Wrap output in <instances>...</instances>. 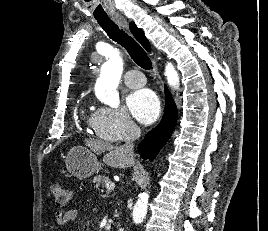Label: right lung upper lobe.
<instances>
[{
  "label": "right lung upper lobe",
  "instance_id": "obj_1",
  "mask_svg": "<svg viewBox=\"0 0 268 231\" xmlns=\"http://www.w3.org/2000/svg\"><path fill=\"white\" fill-rule=\"evenodd\" d=\"M130 30L132 32V34L135 36V38L141 43V45L147 50L150 51L151 50V46L149 41L147 40V38L144 35V32L138 28L136 26L135 23L131 22L130 23Z\"/></svg>",
  "mask_w": 268,
  "mask_h": 231
}]
</instances>
